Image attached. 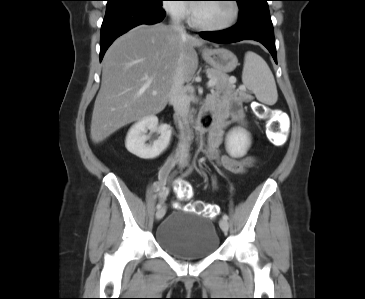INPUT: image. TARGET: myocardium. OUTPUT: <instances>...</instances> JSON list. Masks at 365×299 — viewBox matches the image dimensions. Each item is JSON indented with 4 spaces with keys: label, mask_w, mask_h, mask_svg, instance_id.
<instances>
[{
    "label": "myocardium",
    "mask_w": 365,
    "mask_h": 299,
    "mask_svg": "<svg viewBox=\"0 0 365 299\" xmlns=\"http://www.w3.org/2000/svg\"><path fill=\"white\" fill-rule=\"evenodd\" d=\"M233 8V15L232 18L229 22L222 24V25H207L204 23H201L195 14V7L192 8V13H191V23L193 26L201 29V30H205V31H211V32H219V31H225L228 30L230 28H232L239 19L240 16V6L237 2V0H228Z\"/></svg>",
    "instance_id": "obj_1"
}]
</instances>
